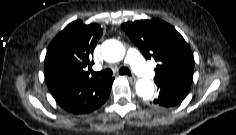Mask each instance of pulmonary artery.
Wrapping results in <instances>:
<instances>
[{
	"mask_svg": "<svg viewBox=\"0 0 236 135\" xmlns=\"http://www.w3.org/2000/svg\"><path fill=\"white\" fill-rule=\"evenodd\" d=\"M127 61L130 63L132 68L138 73L140 76L145 78H151L154 75L153 70L146 65L142 56L135 48H130L127 52Z\"/></svg>",
	"mask_w": 236,
	"mask_h": 135,
	"instance_id": "pulmonary-artery-1",
	"label": "pulmonary artery"
}]
</instances>
